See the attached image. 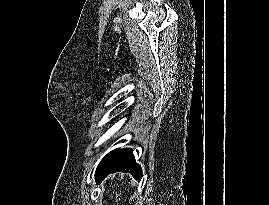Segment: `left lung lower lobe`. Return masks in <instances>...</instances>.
Instances as JSON below:
<instances>
[{
  "label": "left lung lower lobe",
  "instance_id": "obj_1",
  "mask_svg": "<svg viewBox=\"0 0 269 205\" xmlns=\"http://www.w3.org/2000/svg\"><path fill=\"white\" fill-rule=\"evenodd\" d=\"M115 172H128L132 174L135 179H141L142 170L141 167L135 163L132 150L115 149L104 156L96 169V181L100 183L104 178L107 177V175Z\"/></svg>",
  "mask_w": 269,
  "mask_h": 205
}]
</instances>
